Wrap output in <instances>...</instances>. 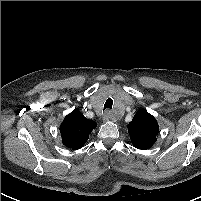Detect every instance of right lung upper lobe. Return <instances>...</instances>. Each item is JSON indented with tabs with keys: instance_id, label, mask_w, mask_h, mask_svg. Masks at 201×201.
Here are the masks:
<instances>
[{
	"instance_id": "cb5924a9",
	"label": "right lung upper lobe",
	"mask_w": 201,
	"mask_h": 201,
	"mask_svg": "<svg viewBox=\"0 0 201 201\" xmlns=\"http://www.w3.org/2000/svg\"><path fill=\"white\" fill-rule=\"evenodd\" d=\"M95 127L96 123L84 117L76 108L65 117L60 126L62 142L68 148L80 149Z\"/></svg>"
}]
</instances>
